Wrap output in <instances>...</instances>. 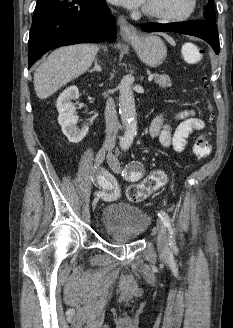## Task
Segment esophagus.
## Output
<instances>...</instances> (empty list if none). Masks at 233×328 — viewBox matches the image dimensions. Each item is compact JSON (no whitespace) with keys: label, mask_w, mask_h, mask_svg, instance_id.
Wrapping results in <instances>:
<instances>
[{"label":"esophagus","mask_w":233,"mask_h":328,"mask_svg":"<svg viewBox=\"0 0 233 328\" xmlns=\"http://www.w3.org/2000/svg\"><path fill=\"white\" fill-rule=\"evenodd\" d=\"M120 35L124 40H135L138 37V32L135 26L130 24L123 16L118 18Z\"/></svg>","instance_id":"1"}]
</instances>
